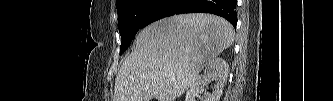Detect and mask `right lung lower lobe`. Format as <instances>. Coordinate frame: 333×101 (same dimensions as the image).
Returning <instances> with one entry per match:
<instances>
[{
    "label": "right lung lower lobe",
    "instance_id": "98d812e1",
    "mask_svg": "<svg viewBox=\"0 0 333 101\" xmlns=\"http://www.w3.org/2000/svg\"><path fill=\"white\" fill-rule=\"evenodd\" d=\"M237 0H161L148 15L145 26L161 18L181 13H212L237 25Z\"/></svg>",
    "mask_w": 333,
    "mask_h": 101
}]
</instances>
